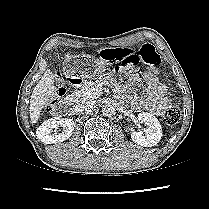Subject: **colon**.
Listing matches in <instances>:
<instances>
[{
    "label": "colon",
    "mask_w": 209,
    "mask_h": 209,
    "mask_svg": "<svg viewBox=\"0 0 209 209\" xmlns=\"http://www.w3.org/2000/svg\"><path fill=\"white\" fill-rule=\"evenodd\" d=\"M103 60L116 62V67H126L128 64L144 63L156 67L160 63V55L155 47L149 43L143 44L138 49L118 48L100 54ZM181 118V111L177 106H168L163 114L164 122L168 126L176 125Z\"/></svg>",
    "instance_id": "obj_1"
}]
</instances>
